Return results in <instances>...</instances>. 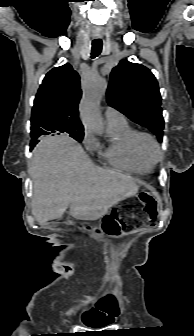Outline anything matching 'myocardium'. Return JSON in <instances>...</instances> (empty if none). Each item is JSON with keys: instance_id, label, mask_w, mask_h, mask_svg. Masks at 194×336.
Returning <instances> with one entry per match:
<instances>
[{"instance_id": "myocardium-1", "label": "myocardium", "mask_w": 194, "mask_h": 336, "mask_svg": "<svg viewBox=\"0 0 194 336\" xmlns=\"http://www.w3.org/2000/svg\"><path fill=\"white\" fill-rule=\"evenodd\" d=\"M144 140L149 141L154 149L153 156L151 158L145 157L142 151V142ZM132 146L137 158L147 164L148 166L153 167L155 164L161 161L162 159V149L156 137L146 131H135L132 139Z\"/></svg>"}]
</instances>
